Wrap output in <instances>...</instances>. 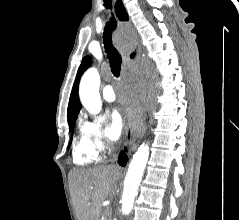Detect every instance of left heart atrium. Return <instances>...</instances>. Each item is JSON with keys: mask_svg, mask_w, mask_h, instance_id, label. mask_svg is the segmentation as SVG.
Segmentation results:
<instances>
[{"mask_svg": "<svg viewBox=\"0 0 239 220\" xmlns=\"http://www.w3.org/2000/svg\"><path fill=\"white\" fill-rule=\"evenodd\" d=\"M120 100L123 106H126L128 103V97L126 94H122L120 96ZM125 126V120L121 113L119 112V108L112 111L110 116V123L107 128V135L111 140H117Z\"/></svg>", "mask_w": 239, "mask_h": 220, "instance_id": "39dd6f15", "label": "left heart atrium"}]
</instances>
